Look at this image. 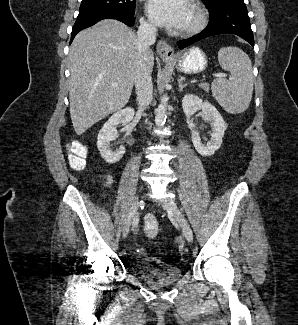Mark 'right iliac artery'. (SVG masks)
Returning <instances> with one entry per match:
<instances>
[{
  "mask_svg": "<svg viewBox=\"0 0 298 325\" xmlns=\"http://www.w3.org/2000/svg\"><path fill=\"white\" fill-rule=\"evenodd\" d=\"M138 222H139V218H138V215H136L134 220H133V227H132L133 230H134V228L137 227Z\"/></svg>",
  "mask_w": 298,
  "mask_h": 325,
  "instance_id": "right-iliac-artery-1",
  "label": "right iliac artery"
}]
</instances>
